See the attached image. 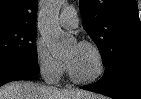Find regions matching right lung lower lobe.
<instances>
[{
  "mask_svg": "<svg viewBox=\"0 0 141 99\" xmlns=\"http://www.w3.org/2000/svg\"><path fill=\"white\" fill-rule=\"evenodd\" d=\"M39 70L37 64L25 62L0 63V86L10 81L32 78L38 74Z\"/></svg>",
  "mask_w": 141,
  "mask_h": 99,
  "instance_id": "obj_1",
  "label": "right lung lower lobe"
}]
</instances>
